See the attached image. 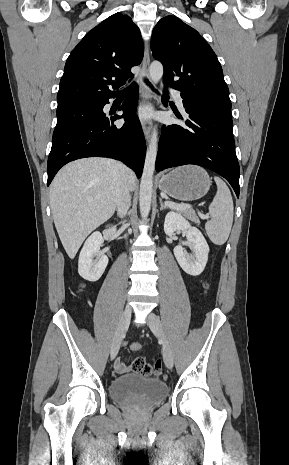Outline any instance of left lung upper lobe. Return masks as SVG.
<instances>
[{"label":"left lung upper lobe","instance_id":"left-lung-upper-lobe-1","mask_svg":"<svg viewBox=\"0 0 289 465\" xmlns=\"http://www.w3.org/2000/svg\"><path fill=\"white\" fill-rule=\"evenodd\" d=\"M151 50L164 65L167 85L209 105L231 109L222 67L195 29L175 16H166L153 30Z\"/></svg>","mask_w":289,"mask_h":465}]
</instances>
